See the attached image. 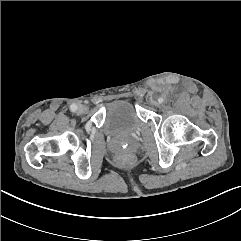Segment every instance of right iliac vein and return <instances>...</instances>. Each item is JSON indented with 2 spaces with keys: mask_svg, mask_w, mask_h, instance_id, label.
Returning <instances> with one entry per match:
<instances>
[{
  "mask_svg": "<svg viewBox=\"0 0 241 241\" xmlns=\"http://www.w3.org/2000/svg\"><path fill=\"white\" fill-rule=\"evenodd\" d=\"M86 111H87V107L84 106V105H80V106L78 107V110H77V112H78L79 114H83V113H85Z\"/></svg>",
  "mask_w": 241,
  "mask_h": 241,
  "instance_id": "obj_1",
  "label": "right iliac vein"
}]
</instances>
